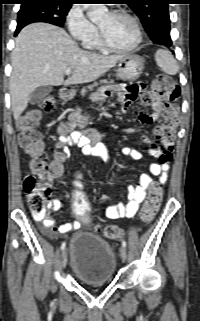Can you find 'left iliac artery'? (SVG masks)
Returning <instances> with one entry per match:
<instances>
[{"instance_id":"left-iliac-artery-1","label":"left iliac artery","mask_w":200,"mask_h":321,"mask_svg":"<svg viewBox=\"0 0 200 321\" xmlns=\"http://www.w3.org/2000/svg\"><path fill=\"white\" fill-rule=\"evenodd\" d=\"M126 245H127L126 241L123 240V241H122V246H123V247H126Z\"/></svg>"}]
</instances>
